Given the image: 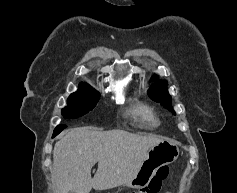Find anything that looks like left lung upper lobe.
<instances>
[{"instance_id": "left-lung-upper-lobe-1", "label": "left lung upper lobe", "mask_w": 237, "mask_h": 193, "mask_svg": "<svg viewBox=\"0 0 237 193\" xmlns=\"http://www.w3.org/2000/svg\"><path fill=\"white\" fill-rule=\"evenodd\" d=\"M148 92L153 100L160 102L162 105L166 106L170 111H172L175 114L171 106V97L167 92L165 82H159L155 84L149 89Z\"/></svg>"}]
</instances>
